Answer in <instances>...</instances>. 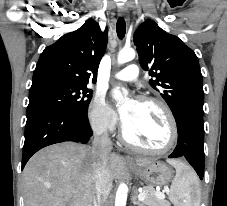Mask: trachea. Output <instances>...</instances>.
Segmentation results:
<instances>
[{
    "label": "trachea",
    "instance_id": "3493384b",
    "mask_svg": "<svg viewBox=\"0 0 227 206\" xmlns=\"http://www.w3.org/2000/svg\"><path fill=\"white\" fill-rule=\"evenodd\" d=\"M116 31L119 39H123L126 33V23L123 17L117 20Z\"/></svg>",
    "mask_w": 227,
    "mask_h": 206
}]
</instances>
